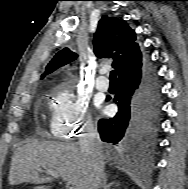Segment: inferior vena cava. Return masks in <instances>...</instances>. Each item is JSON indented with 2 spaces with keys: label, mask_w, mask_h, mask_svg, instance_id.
Listing matches in <instances>:
<instances>
[{
  "label": "inferior vena cava",
  "mask_w": 188,
  "mask_h": 189,
  "mask_svg": "<svg viewBox=\"0 0 188 189\" xmlns=\"http://www.w3.org/2000/svg\"><path fill=\"white\" fill-rule=\"evenodd\" d=\"M79 148L90 161L87 189H100L104 178V160L100 136L92 122L84 125L79 138Z\"/></svg>",
  "instance_id": "obj_1"
}]
</instances>
